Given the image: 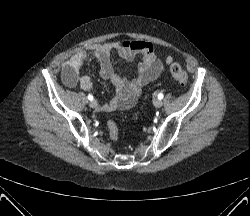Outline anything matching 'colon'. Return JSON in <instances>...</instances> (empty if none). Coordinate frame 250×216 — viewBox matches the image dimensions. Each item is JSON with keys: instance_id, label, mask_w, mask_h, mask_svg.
I'll return each instance as SVG.
<instances>
[{"instance_id": "colon-1", "label": "colon", "mask_w": 250, "mask_h": 216, "mask_svg": "<svg viewBox=\"0 0 250 216\" xmlns=\"http://www.w3.org/2000/svg\"><path fill=\"white\" fill-rule=\"evenodd\" d=\"M165 63L168 65L169 70L173 76V78L180 84L186 85L188 82V74L181 67L179 63H177L171 56H164ZM107 129L109 132V136L113 141H117L119 138L118 127L113 121L107 122Z\"/></svg>"}]
</instances>
